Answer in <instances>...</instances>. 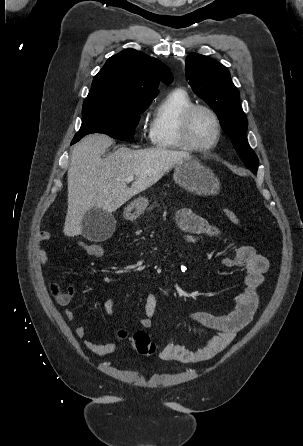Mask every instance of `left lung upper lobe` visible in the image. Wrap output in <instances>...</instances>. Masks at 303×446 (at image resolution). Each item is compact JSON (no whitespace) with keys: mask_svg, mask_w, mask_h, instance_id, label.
Instances as JSON below:
<instances>
[{"mask_svg":"<svg viewBox=\"0 0 303 446\" xmlns=\"http://www.w3.org/2000/svg\"><path fill=\"white\" fill-rule=\"evenodd\" d=\"M185 71L194 93L214 110L240 158L256 173L258 158L246 138L248 121L227 68L208 56L192 53L186 58Z\"/></svg>","mask_w":303,"mask_h":446,"instance_id":"1","label":"left lung upper lobe"}]
</instances>
